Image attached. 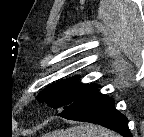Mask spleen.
<instances>
[{"label": "spleen", "mask_w": 144, "mask_h": 137, "mask_svg": "<svg viewBox=\"0 0 144 137\" xmlns=\"http://www.w3.org/2000/svg\"><path fill=\"white\" fill-rule=\"evenodd\" d=\"M55 137H119L116 133L90 123L59 131Z\"/></svg>", "instance_id": "spleen-1"}]
</instances>
